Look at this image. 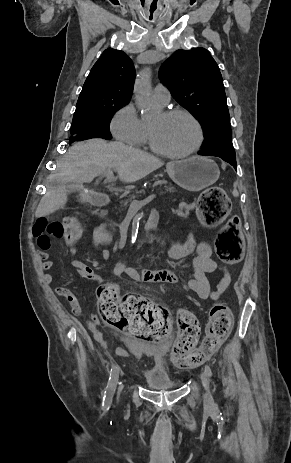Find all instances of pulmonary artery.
Wrapping results in <instances>:
<instances>
[{"mask_svg": "<svg viewBox=\"0 0 291 463\" xmlns=\"http://www.w3.org/2000/svg\"><path fill=\"white\" fill-rule=\"evenodd\" d=\"M170 92L166 86L163 84H157L153 89V98L154 100L161 104L165 105L170 101Z\"/></svg>", "mask_w": 291, "mask_h": 463, "instance_id": "obj_1", "label": "pulmonary artery"}]
</instances>
